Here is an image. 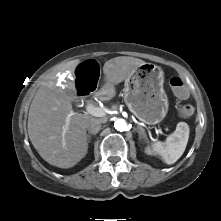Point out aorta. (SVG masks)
Segmentation results:
<instances>
[{
    "label": "aorta",
    "mask_w": 221,
    "mask_h": 221,
    "mask_svg": "<svg viewBox=\"0 0 221 221\" xmlns=\"http://www.w3.org/2000/svg\"><path fill=\"white\" fill-rule=\"evenodd\" d=\"M114 127L117 131H120V132L127 131L128 129V125L124 119H117L114 122Z\"/></svg>",
    "instance_id": "aorta-1"
}]
</instances>
